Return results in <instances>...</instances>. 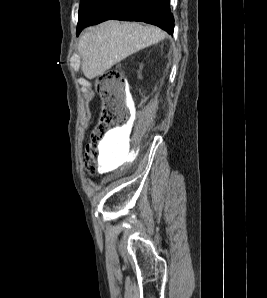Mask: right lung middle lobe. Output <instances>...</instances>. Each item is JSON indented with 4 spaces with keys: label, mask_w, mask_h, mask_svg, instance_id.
I'll use <instances>...</instances> for the list:
<instances>
[{
    "label": "right lung middle lobe",
    "mask_w": 267,
    "mask_h": 298,
    "mask_svg": "<svg viewBox=\"0 0 267 298\" xmlns=\"http://www.w3.org/2000/svg\"><path fill=\"white\" fill-rule=\"evenodd\" d=\"M104 0H81L78 24L88 20Z\"/></svg>",
    "instance_id": "1"
}]
</instances>
